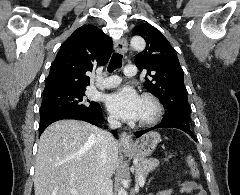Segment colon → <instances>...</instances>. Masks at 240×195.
Listing matches in <instances>:
<instances>
[{
    "mask_svg": "<svg viewBox=\"0 0 240 195\" xmlns=\"http://www.w3.org/2000/svg\"><path fill=\"white\" fill-rule=\"evenodd\" d=\"M186 166H190V173L193 174L194 178L198 177V167H195V162H191V155H186ZM204 192H201L200 195H204Z\"/></svg>",
    "mask_w": 240,
    "mask_h": 195,
    "instance_id": "1",
    "label": "colon"
}]
</instances>
